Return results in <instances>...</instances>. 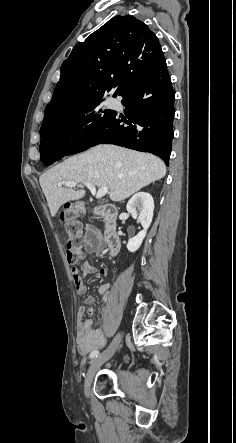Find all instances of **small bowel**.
<instances>
[{"label": "small bowel", "mask_w": 236, "mask_h": 443, "mask_svg": "<svg viewBox=\"0 0 236 443\" xmlns=\"http://www.w3.org/2000/svg\"><path fill=\"white\" fill-rule=\"evenodd\" d=\"M84 248L87 253L100 256L103 254L105 242L100 234V232L94 227H86L84 236ZM97 272L96 268L92 266L89 262H85L81 269L73 267L71 273L75 283L76 292L83 295L87 292V286L83 280V274H95ZM109 272L108 267H102L99 270V274L102 276L107 275ZM111 284L106 283L99 287L98 291L103 295L104 299H107L110 295ZM96 301L95 297L87 296L85 298V303L88 305L94 304ZM95 310L93 307H80L79 317L82 318L83 315H94ZM105 344L104 333L102 329L96 326V322L93 319L80 320L77 328L76 335V348L80 354H87L98 348L103 347Z\"/></svg>", "instance_id": "small-bowel-1"}]
</instances>
